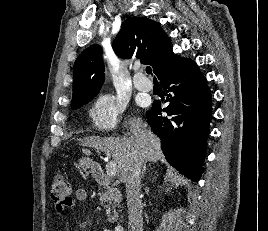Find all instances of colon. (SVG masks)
Returning a JSON list of instances; mask_svg holds the SVG:
<instances>
[{
    "mask_svg": "<svg viewBox=\"0 0 268 231\" xmlns=\"http://www.w3.org/2000/svg\"><path fill=\"white\" fill-rule=\"evenodd\" d=\"M51 198L60 204L70 202V187L66 179L61 175H56L51 183Z\"/></svg>",
    "mask_w": 268,
    "mask_h": 231,
    "instance_id": "colon-1",
    "label": "colon"
}]
</instances>
